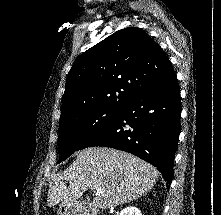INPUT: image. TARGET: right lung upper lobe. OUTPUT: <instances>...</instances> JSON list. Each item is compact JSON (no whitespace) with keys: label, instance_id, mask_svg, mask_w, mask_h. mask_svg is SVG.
<instances>
[{"label":"right lung upper lobe","instance_id":"obj_1","mask_svg":"<svg viewBox=\"0 0 221 215\" xmlns=\"http://www.w3.org/2000/svg\"><path fill=\"white\" fill-rule=\"evenodd\" d=\"M173 72L162 48L142 29L118 30L73 63L61 118L92 108L121 109Z\"/></svg>","mask_w":221,"mask_h":215}]
</instances>
